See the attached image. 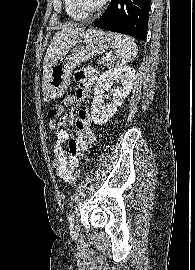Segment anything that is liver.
I'll return each instance as SVG.
<instances>
[{"label":"liver","mask_w":195,"mask_h":270,"mask_svg":"<svg viewBox=\"0 0 195 270\" xmlns=\"http://www.w3.org/2000/svg\"><path fill=\"white\" fill-rule=\"evenodd\" d=\"M84 30L83 28H78L75 25H68L67 27H63L60 31L55 33L53 39L50 42V45L47 49L46 55L44 57V62H43V68L45 69L52 59H54L58 48L60 46V43L62 42V39L66 35H71L73 33H76L78 31Z\"/></svg>","instance_id":"1"}]
</instances>
